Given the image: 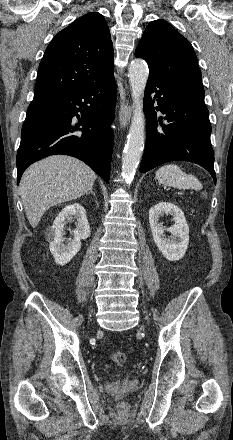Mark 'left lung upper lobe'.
Listing matches in <instances>:
<instances>
[{
	"instance_id": "obj_1",
	"label": "left lung upper lobe",
	"mask_w": 233,
	"mask_h": 440,
	"mask_svg": "<svg viewBox=\"0 0 233 440\" xmlns=\"http://www.w3.org/2000/svg\"><path fill=\"white\" fill-rule=\"evenodd\" d=\"M149 66V77L167 85L204 92L196 54L178 31L164 20L149 23L136 48Z\"/></svg>"
}]
</instances>
